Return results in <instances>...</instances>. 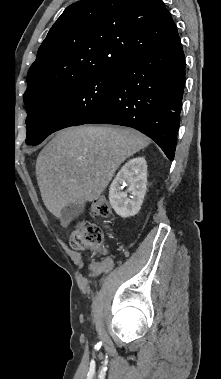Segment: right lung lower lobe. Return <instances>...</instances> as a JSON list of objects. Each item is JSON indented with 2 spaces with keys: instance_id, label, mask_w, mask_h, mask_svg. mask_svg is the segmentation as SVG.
Here are the masks:
<instances>
[{
  "instance_id": "98d812e1",
  "label": "right lung lower lobe",
  "mask_w": 221,
  "mask_h": 379,
  "mask_svg": "<svg viewBox=\"0 0 221 379\" xmlns=\"http://www.w3.org/2000/svg\"><path fill=\"white\" fill-rule=\"evenodd\" d=\"M185 84L180 37L118 68L110 101L86 123L135 128L174 159Z\"/></svg>"
}]
</instances>
